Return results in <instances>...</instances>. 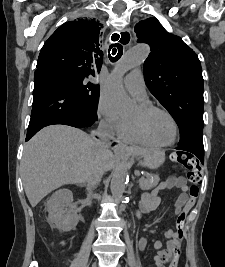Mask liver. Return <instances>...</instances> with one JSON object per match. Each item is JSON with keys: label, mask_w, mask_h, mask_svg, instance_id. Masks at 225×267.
Instances as JSON below:
<instances>
[{"label": "liver", "mask_w": 225, "mask_h": 267, "mask_svg": "<svg viewBox=\"0 0 225 267\" xmlns=\"http://www.w3.org/2000/svg\"><path fill=\"white\" fill-rule=\"evenodd\" d=\"M97 157L96 140L79 129L51 125L39 131L25 144L22 158L23 186L31 206L62 185L86 182ZM99 160L109 170L113 153L108 150Z\"/></svg>", "instance_id": "1"}]
</instances>
